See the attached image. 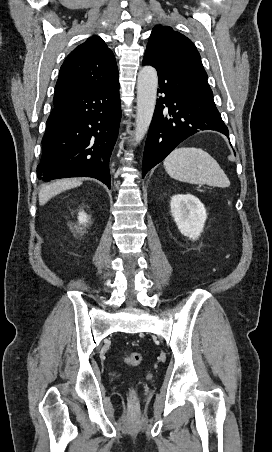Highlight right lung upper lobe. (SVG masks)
I'll return each mask as SVG.
<instances>
[{
	"label": "right lung upper lobe",
	"mask_w": 272,
	"mask_h": 452,
	"mask_svg": "<svg viewBox=\"0 0 272 452\" xmlns=\"http://www.w3.org/2000/svg\"><path fill=\"white\" fill-rule=\"evenodd\" d=\"M118 79L113 52L98 36L76 47L61 66L55 87L54 107L83 93L105 87Z\"/></svg>",
	"instance_id": "cb5924a9"
}]
</instances>
